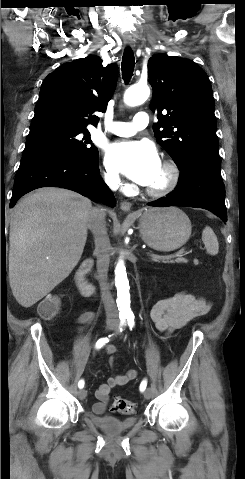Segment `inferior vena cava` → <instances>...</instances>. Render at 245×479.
<instances>
[{
    "label": "inferior vena cava",
    "instance_id": "602c4592",
    "mask_svg": "<svg viewBox=\"0 0 245 479\" xmlns=\"http://www.w3.org/2000/svg\"><path fill=\"white\" fill-rule=\"evenodd\" d=\"M108 183L111 187H114L117 185V179H110ZM105 217V209L93 207L87 217V228L91 230L94 236V253L97 257V273L106 317L107 319L117 320L118 310L107 282L111 245L107 234Z\"/></svg>",
    "mask_w": 245,
    "mask_h": 479
}]
</instances>
